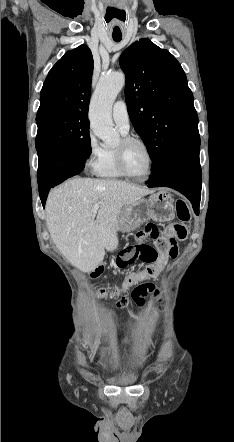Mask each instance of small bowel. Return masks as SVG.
<instances>
[{
    "instance_id": "obj_1",
    "label": "small bowel",
    "mask_w": 234,
    "mask_h": 442,
    "mask_svg": "<svg viewBox=\"0 0 234 442\" xmlns=\"http://www.w3.org/2000/svg\"><path fill=\"white\" fill-rule=\"evenodd\" d=\"M177 255H178V248L174 246L171 252L159 255L156 262L161 266L165 264L169 259H175ZM143 287L146 289V291L154 290V286L150 284H144Z\"/></svg>"
}]
</instances>
